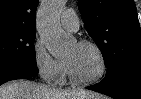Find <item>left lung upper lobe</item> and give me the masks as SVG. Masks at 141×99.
<instances>
[{
    "instance_id": "left-lung-upper-lobe-1",
    "label": "left lung upper lobe",
    "mask_w": 141,
    "mask_h": 99,
    "mask_svg": "<svg viewBox=\"0 0 141 99\" xmlns=\"http://www.w3.org/2000/svg\"><path fill=\"white\" fill-rule=\"evenodd\" d=\"M84 25L102 52L106 76L141 66V30L134 0H79Z\"/></svg>"
}]
</instances>
